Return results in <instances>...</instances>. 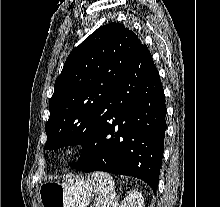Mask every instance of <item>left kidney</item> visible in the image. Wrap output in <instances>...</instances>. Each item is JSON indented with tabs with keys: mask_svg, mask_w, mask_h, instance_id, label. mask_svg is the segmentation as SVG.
Masks as SVG:
<instances>
[{
	"mask_svg": "<svg viewBox=\"0 0 220 207\" xmlns=\"http://www.w3.org/2000/svg\"><path fill=\"white\" fill-rule=\"evenodd\" d=\"M119 207H144V198L138 191H132L124 198Z\"/></svg>",
	"mask_w": 220,
	"mask_h": 207,
	"instance_id": "obj_1",
	"label": "left kidney"
}]
</instances>
